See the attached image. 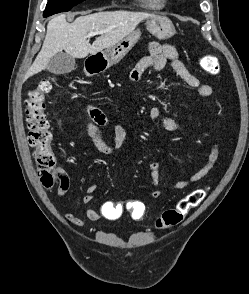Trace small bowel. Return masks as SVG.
Here are the masks:
<instances>
[{
  "mask_svg": "<svg viewBox=\"0 0 249 294\" xmlns=\"http://www.w3.org/2000/svg\"><path fill=\"white\" fill-rule=\"evenodd\" d=\"M146 49L148 54L143 57L131 71L130 80L132 82H138L144 71L148 69H153L155 71L162 70L165 67L166 62L170 61L173 72L181 77L187 85L196 89L197 94L201 99L207 98L212 94V88L201 82L199 78L189 72L184 63L180 60L177 51L172 46L159 44L157 42H150L147 44ZM149 117L152 121L159 123L168 132L178 133L184 129V125L168 117L159 107H151L149 109ZM92 118L93 122L86 124L85 132L94 140L99 152L104 155H110L120 150L127 138V130L121 125H116L113 129V141L111 143H106L102 138L101 128L108 125V118L104 113L93 116ZM218 154V144L214 143L211 147L207 161L198 171L185 179L175 182L164 191L158 188L160 183L159 163L157 161H152L149 165L152 186L154 187L151 192L152 198L158 199L164 192L167 191L183 190L193 183L203 179L213 169L218 159ZM97 189V184H90L86 188V194L83 196L82 201L85 204L91 203L93 200V194L97 191ZM69 190L70 178L65 172L62 171V176L57 188L58 198L62 199L69 192ZM113 207V202L104 201L98 209L88 208L85 212L86 218L93 222L98 221L101 218L109 220L117 219L118 217H113L111 214ZM65 218L69 223L75 226L82 227L84 225V221L78 218L71 211L65 213Z\"/></svg>",
  "mask_w": 249,
  "mask_h": 294,
  "instance_id": "c3829d8e",
  "label": "small bowel"
}]
</instances>
